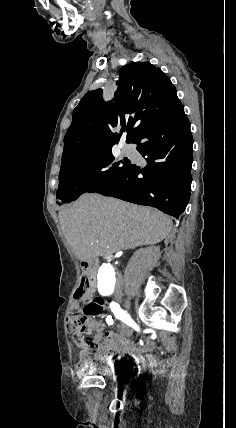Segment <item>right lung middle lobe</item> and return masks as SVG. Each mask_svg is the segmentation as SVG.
I'll return each mask as SVG.
<instances>
[{
	"label": "right lung middle lobe",
	"instance_id": "right-lung-middle-lobe-1",
	"mask_svg": "<svg viewBox=\"0 0 236 428\" xmlns=\"http://www.w3.org/2000/svg\"><path fill=\"white\" fill-rule=\"evenodd\" d=\"M131 143L132 141H126ZM111 146L95 154L84 157L59 173V187L56 198L62 203L76 200L86 192H97L110 184L125 169L130 161L127 158L114 163ZM123 164V166H121ZM102 168H107L101 171ZM57 204H61L57 202Z\"/></svg>",
	"mask_w": 236,
	"mask_h": 428
}]
</instances>
